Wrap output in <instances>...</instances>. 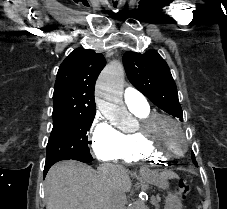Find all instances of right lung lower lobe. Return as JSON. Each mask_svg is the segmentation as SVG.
Wrapping results in <instances>:
<instances>
[{"mask_svg":"<svg viewBox=\"0 0 227 209\" xmlns=\"http://www.w3.org/2000/svg\"><path fill=\"white\" fill-rule=\"evenodd\" d=\"M68 159H70V158H65V159H60V160H68ZM60 160H57V161H55L54 163H56V162H58V161H60ZM79 161H80V160H79ZM81 162H83V161H81ZM84 162H85V163H89V162L86 161V160H84ZM90 162H91V161H90ZM54 163H53V164H54ZM53 164H51L50 167H51ZM50 167H49V168H50ZM49 168H48V170H49ZM48 170H47V171H48ZM47 171L45 172V170H44V175H46Z\"/></svg>","mask_w":227,"mask_h":209,"instance_id":"98d812e1","label":"right lung lower lobe"}]
</instances>
